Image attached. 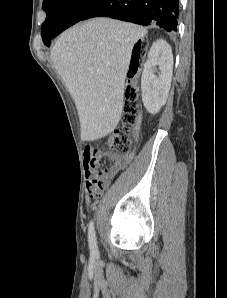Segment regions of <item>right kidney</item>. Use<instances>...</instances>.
I'll return each instance as SVG.
<instances>
[{"instance_id":"1","label":"right kidney","mask_w":227,"mask_h":298,"mask_svg":"<svg viewBox=\"0 0 227 298\" xmlns=\"http://www.w3.org/2000/svg\"><path fill=\"white\" fill-rule=\"evenodd\" d=\"M172 70L171 46L165 40L159 39L150 48L141 77L142 101L149 113H158L166 103L171 86ZM155 72H158V76Z\"/></svg>"}]
</instances>
